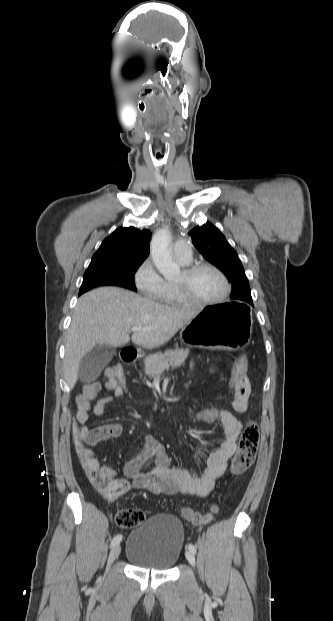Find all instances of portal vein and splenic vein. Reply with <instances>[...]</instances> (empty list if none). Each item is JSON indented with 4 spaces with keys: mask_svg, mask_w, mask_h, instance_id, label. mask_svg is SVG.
Listing matches in <instances>:
<instances>
[{
    "mask_svg": "<svg viewBox=\"0 0 333 621\" xmlns=\"http://www.w3.org/2000/svg\"><path fill=\"white\" fill-rule=\"evenodd\" d=\"M132 331H147L149 330L148 328H141V327H137V326H133L131 328Z\"/></svg>",
    "mask_w": 333,
    "mask_h": 621,
    "instance_id": "1",
    "label": "portal vein and splenic vein"
}]
</instances>
